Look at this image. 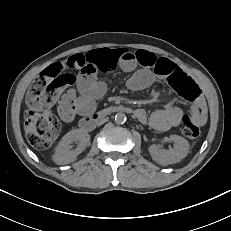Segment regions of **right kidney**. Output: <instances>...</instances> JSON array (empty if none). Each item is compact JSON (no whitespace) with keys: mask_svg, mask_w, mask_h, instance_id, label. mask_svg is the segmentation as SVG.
Instances as JSON below:
<instances>
[{"mask_svg":"<svg viewBox=\"0 0 231 231\" xmlns=\"http://www.w3.org/2000/svg\"><path fill=\"white\" fill-rule=\"evenodd\" d=\"M73 142L78 145L75 149L71 150ZM90 145V135L80 129H74L65 134L61 141L58 143L53 160L57 164H69L74 162L77 156L84 151V149Z\"/></svg>","mask_w":231,"mask_h":231,"instance_id":"right-kidney-1","label":"right kidney"}]
</instances>
